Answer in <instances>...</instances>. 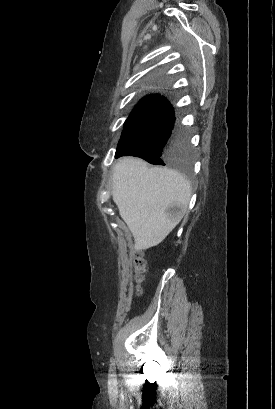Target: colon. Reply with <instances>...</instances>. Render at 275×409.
Masks as SVG:
<instances>
[{
    "instance_id": "1",
    "label": "colon",
    "mask_w": 275,
    "mask_h": 409,
    "mask_svg": "<svg viewBox=\"0 0 275 409\" xmlns=\"http://www.w3.org/2000/svg\"><path fill=\"white\" fill-rule=\"evenodd\" d=\"M144 265H145V263H144L143 261H141V260H139V261L136 262V267H137L138 271L142 270V269L144 268ZM136 280H137L138 282L142 281V280H143V276H142L140 273H138V275L136 276ZM141 293H142L141 290L138 289V290H137V294H141Z\"/></svg>"
}]
</instances>
